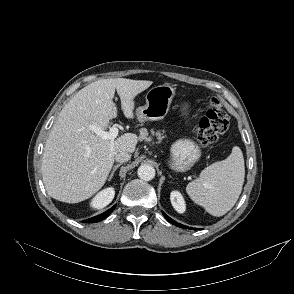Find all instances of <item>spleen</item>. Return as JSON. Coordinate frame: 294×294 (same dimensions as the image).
<instances>
[{
  "label": "spleen",
  "instance_id": "1",
  "mask_svg": "<svg viewBox=\"0 0 294 294\" xmlns=\"http://www.w3.org/2000/svg\"><path fill=\"white\" fill-rule=\"evenodd\" d=\"M245 166L242 151L235 146L223 161L206 167L200 178L190 182V198L213 216L226 214L237 202L244 183Z\"/></svg>",
  "mask_w": 294,
  "mask_h": 294
}]
</instances>
